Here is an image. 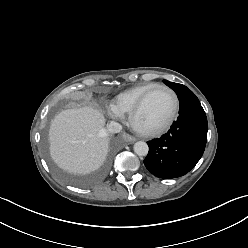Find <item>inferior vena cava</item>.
Instances as JSON below:
<instances>
[{"label":"inferior vena cava","instance_id":"1","mask_svg":"<svg viewBox=\"0 0 248 248\" xmlns=\"http://www.w3.org/2000/svg\"><path fill=\"white\" fill-rule=\"evenodd\" d=\"M107 127L110 133H119L122 130L121 124L115 121H111Z\"/></svg>","mask_w":248,"mask_h":248}]
</instances>
